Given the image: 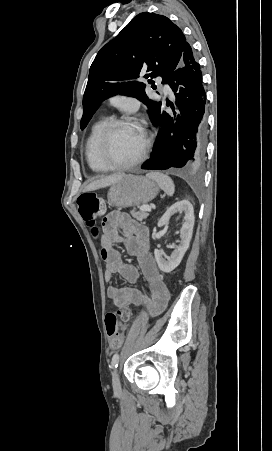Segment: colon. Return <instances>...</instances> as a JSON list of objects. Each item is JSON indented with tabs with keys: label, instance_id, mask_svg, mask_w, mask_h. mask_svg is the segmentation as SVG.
Instances as JSON below:
<instances>
[{
	"label": "colon",
	"instance_id": "colon-1",
	"mask_svg": "<svg viewBox=\"0 0 272 451\" xmlns=\"http://www.w3.org/2000/svg\"><path fill=\"white\" fill-rule=\"evenodd\" d=\"M77 205L79 213L85 222V224L92 226L96 223L97 219L104 212V200L97 193L90 192L85 193L78 197ZM118 317L122 320H128L131 316L130 311L125 308H119L117 310ZM105 330L107 335L113 336L118 331V318L114 314H106L105 316ZM121 338H111V347H121Z\"/></svg>",
	"mask_w": 272,
	"mask_h": 451
}]
</instances>
